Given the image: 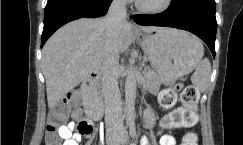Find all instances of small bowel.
Wrapping results in <instances>:
<instances>
[{
	"instance_id": "obj_1",
	"label": "small bowel",
	"mask_w": 243,
	"mask_h": 145,
	"mask_svg": "<svg viewBox=\"0 0 243 145\" xmlns=\"http://www.w3.org/2000/svg\"><path fill=\"white\" fill-rule=\"evenodd\" d=\"M73 121L69 122L66 125H63L59 129V135L64 140L62 145H79L81 137L83 134L79 132H73L76 124L78 114L74 112L72 114ZM155 124V116L151 110H147L144 115V126L148 129L152 128ZM92 132V131H91ZM90 133L85 134V136H90ZM160 134V132H158ZM160 145H176V140L172 135L162 134L159 140ZM141 145H150L146 137H143L141 140Z\"/></svg>"
}]
</instances>
